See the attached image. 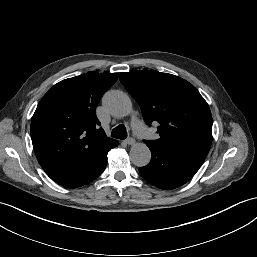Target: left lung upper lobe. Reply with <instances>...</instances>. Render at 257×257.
Segmentation results:
<instances>
[{"mask_svg":"<svg viewBox=\"0 0 257 257\" xmlns=\"http://www.w3.org/2000/svg\"><path fill=\"white\" fill-rule=\"evenodd\" d=\"M120 81L138 102L146 124H160V137L145 141L147 145L166 150H210V108L192 84L155 70L121 73Z\"/></svg>","mask_w":257,"mask_h":257,"instance_id":"obj_1","label":"left lung upper lobe"}]
</instances>
